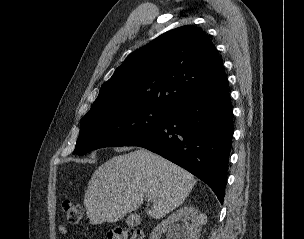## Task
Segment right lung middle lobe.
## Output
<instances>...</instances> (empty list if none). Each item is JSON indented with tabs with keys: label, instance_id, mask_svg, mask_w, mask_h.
Wrapping results in <instances>:
<instances>
[{
	"label": "right lung middle lobe",
	"instance_id": "obj_1",
	"mask_svg": "<svg viewBox=\"0 0 304 239\" xmlns=\"http://www.w3.org/2000/svg\"><path fill=\"white\" fill-rule=\"evenodd\" d=\"M168 110L137 106L107 110L84 117L73 154L103 147L125 146L161 125Z\"/></svg>",
	"mask_w": 304,
	"mask_h": 239
}]
</instances>
